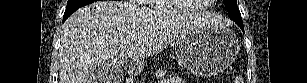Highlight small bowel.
Returning a JSON list of instances; mask_svg holds the SVG:
<instances>
[{
    "instance_id": "small-bowel-1",
    "label": "small bowel",
    "mask_w": 307,
    "mask_h": 83,
    "mask_svg": "<svg viewBox=\"0 0 307 83\" xmlns=\"http://www.w3.org/2000/svg\"><path fill=\"white\" fill-rule=\"evenodd\" d=\"M166 83H184V81L180 77L174 76L168 79Z\"/></svg>"
}]
</instances>
